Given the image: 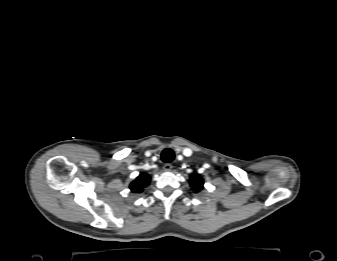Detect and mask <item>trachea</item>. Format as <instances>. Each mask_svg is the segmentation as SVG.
Masks as SVG:
<instances>
[{
    "label": "trachea",
    "mask_w": 337,
    "mask_h": 261,
    "mask_svg": "<svg viewBox=\"0 0 337 261\" xmlns=\"http://www.w3.org/2000/svg\"><path fill=\"white\" fill-rule=\"evenodd\" d=\"M175 154L174 151L170 148H166L161 153V159L165 163H170L174 160Z\"/></svg>",
    "instance_id": "obj_1"
}]
</instances>
